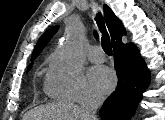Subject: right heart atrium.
<instances>
[{"instance_id":"obj_1","label":"right heart atrium","mask_w":165,"mask_h":120,"mask_svg":"<svg viewBox=\"0 0 165 120\" xmlns=\"http://www.w3.org/2000/svg\"><path fill=\"white\" fill-rule=\"evenodd\" d=\"M46 89L55 98L76 103L100 97L82 73L67 72L57 58L52 60Z\"/></svg>"}]
</instances>
